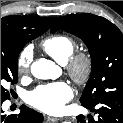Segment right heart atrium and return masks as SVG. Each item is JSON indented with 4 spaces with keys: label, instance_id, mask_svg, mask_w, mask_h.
Masks as SVG:
<instances>
[{
    "label": "right heart atrium",
    "instance_id": "obj_1",
    "mask_svg": "<svg viewBox=\"0 0 123 123\" xmlns=\"http://www.w3.org/2000/svg\"><path fill=\"white\" fill-rule=\"evenodd\" d=\"M32 57V52L29 49H25L19 54L17 58L16 68L17 72L20 75H26L29 72Z\"/></svg>",
    "mask_w": 123,
    "mask_h": 123
}]
</instances>
